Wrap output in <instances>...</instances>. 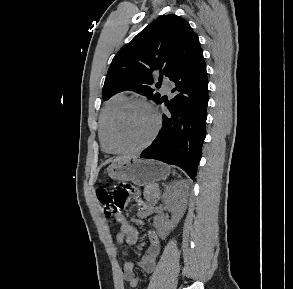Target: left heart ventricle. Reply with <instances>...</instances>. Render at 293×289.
Wrapping results in <instances>:
<instances>
[{"instance_id": "1", "label": "left heart ventricle", "mask_w": 293, "mask_h": 289, "mask_svg": "<svg viewBox=\"0 0 293 289\" xmlns=\"http://www.w3.org/2000/svg\"><path fill=\"white\" fill-rule=\"evenodd\" d=\"M155 126L152 111L141 104L129 107L118 118L113 131L114 144L119 148H135L143 144Z\"/></svg>"}]
</instances>
